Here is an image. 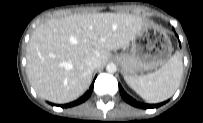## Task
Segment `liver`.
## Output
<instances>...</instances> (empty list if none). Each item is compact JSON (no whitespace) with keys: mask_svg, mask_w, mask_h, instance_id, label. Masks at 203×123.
Masks as SVG:
<instances>
[{"mask_svg":"<svg viewBox=\"0 0 203 123\" xmlns=\"http://www.w3.org/2000/svg\"><path fill=\"white\" fill-rule=\"evenodd\" d=\"M147 26L127 13L75 14L40 24L27 45V76L37 94L63 104L76 100L89 88L93 70L86 66L95 57L100 66L111 51L127 45Z\"/></svg>","mask_w":203,"mask_h":123,"instance_id":"obj_1","label":"liver"}]
</instances>
